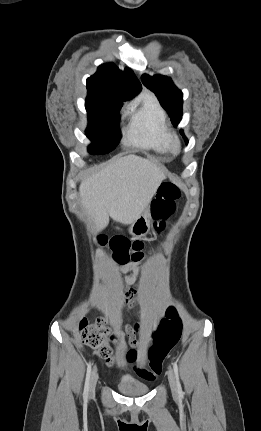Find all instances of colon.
Instances as JSON below:
<instances>
[{
  "label": "colon",
  "mask_w": 261,
  "mask_h": 431,
  "mask_svg": "<svg viewBox=\"0 0 261 431\" xmlns=\"http://www.w3.org/2000/svg\"><path fill=\"white\" fill-rule=\"evenodd\" d=\"M179 197L180 190L175 184L165 182L159 187L157 197L152 204V215L157 231L164 228L165 220L174 212L175 202ZM100 242L102 244L109 243L113 250L114 260L120 265H125L130 261H139L144 257L145 245L141 241L130 242L123 236H115L109 241L106 237H101ZM79 331L86 345L97 349L99 356L107 362L111 360L112 348L107 340L109 328L103 319L97 318L90 321L85 318L79 323ZM181 333V320L176 310L170 308L154 334V344L149 350L150 371H140V368H135V373L141 372L140 375L144 383H154L158 380L162 361L178 343Z\"/></svg>",
  "instance_id": "1"
}]
</instances>
